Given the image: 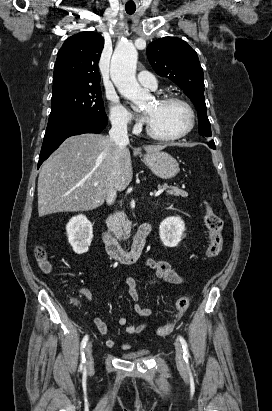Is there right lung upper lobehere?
<instances>
[{
  "mask_svg": "<svg viewBox=\"0 0 272 411\" xmlns=\"http://www.w3.org/2000/svg\"><path fill=\"white\" fill-rule=\"evenodd\" d=\"M103 46L104 38L93 31L69 37L57 54L53 94L71 88L100 86L98 62Z\"/></svg>",
  "mask_w": 272,
  "mask_h": 411,
  "instance_id": "cb5924a9",
  "label": "right lung upper lobe"
}]
</instances>
